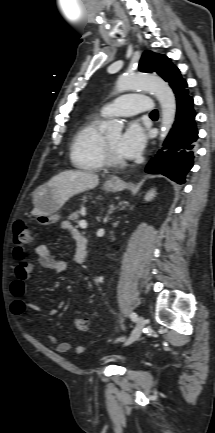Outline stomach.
Masks as SVG:
<instances>
[{"label":"stomach","instance_id":"1","mask_svg":"<svg viewBox=\"0 0 215 433\" xmlns=\"http://www.w3.org/2000/svg\"><path fill=\"white\" fill-rule=\"evenodd\" d=\"M118 188L117 185H104V189L109 192H114L118 190ZM33 203L35 210L38 211L37 222L40 225H50L60 219L58 210L61 205L56 200V194L53 188L46 185L38 187L33 192Z\"/></svg>","mask_w":215,"mask_h":433}]
</instances>
